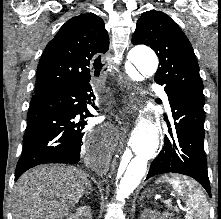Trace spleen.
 <instances>
[{
  "mask_svg": "<svg viewBox=\"0 0 221 219\" xmlns=\"http://www.w3.org/2000/svg\"><path fill=\"white\" fill-rule=\"evenodd\" d=\"M171 184L178 196L186 203L185 219H209V204L202 188L192 179L181 175L164 176L158 182Z\"/></svg>",
  "mask_w": 221,
  "mask_h": 219,
  "instance_id": "3e777b00",
  "label": "spleen"
}]
</instances>
